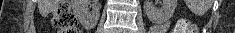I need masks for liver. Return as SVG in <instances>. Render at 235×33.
<instances>
[{
    "instance_id": "6515ba94",
    "label": "liver",
    "mask_w": 235,
    "mask_h": 33,
    "mask_svg": "<svg viewBox=\"0 0 235 33\" xmlns=\"http://www.w3.org/2000/svg\"><path fill=\"white\" fill-rule=\"evenodd\" d=\"M39 12L42 16H46L52 10V0H38Z\"/></svg>"
}]
</instances>
